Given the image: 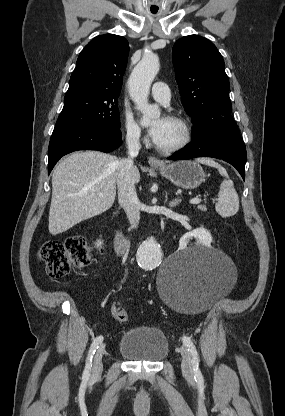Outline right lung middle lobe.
<instances>
[{
  "label": "right lung middle lobe",
  "instance_id": "obj_1",
  "mask_svg": "<svg viewBox=\"0 0 285 416\" xmlns=\"http://www.w3.org/2000/svg\"><path fill=\"white\" fill-rule=\"evenodd\" d=\"M117 97L83 98L65 95V104L55 129H99L119 131Z\"/></svg>",
  "mask_w": 285,
  "mask_h": 416
}]
</instances>
